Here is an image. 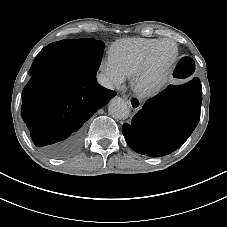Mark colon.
<instances>
[{
	"label": "colon",
	"instance_id": "colon-1",
	"mask_svg": "<svg viewBox=\"0 0 227 227\" xmlns=\"http://www.w3.org/2000/svg\"><path fill=\"white\" fill-rule=\"evenodd\" d=\"M192 61L189 58H182L176 67V73L186 74L192 68Z\"/></svg>",
	"mask_w": 227,
	"mask_h": 227
}]
</instances>
